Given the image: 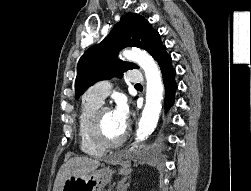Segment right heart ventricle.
Segmentation results:
<instances>
[{
	"label": "right heart ventricle",
	"instance_id": "1",
	"mask_svg": "<svg viewBox=\"0 0 251 191\" xmlns=\"http://www.w3.org/2000/svg\"><path fill=\"white\" fill-rule=\"evenodd\" d=\"M101 101L84 96L76 116V140L81 154L100 158L106 149L97 145L90 135V122L94 111L101 105Z\"/></svg>",
	"mask_w": 251,
	"mask_h": 191
}]
</instances>
